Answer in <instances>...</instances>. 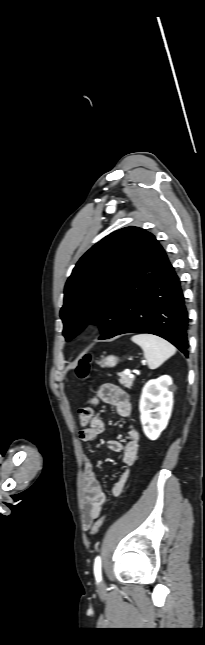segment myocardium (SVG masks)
<instances>
[{
    "mask_svg": "<svg viewBox=\"0 0 205 645\" xmlns=\"http://www.w3.org/2000/svg\"><path fill=\"white\" fill-rule=\"evenodd\" d=\"M86 332H87V330H84V333H86Z\"/></svg>",
    "mask_w": 205,
    "mask_h": 645,
    "instance_id": "f54148a6",
    "label": "myocardium"
}]
</instances>
